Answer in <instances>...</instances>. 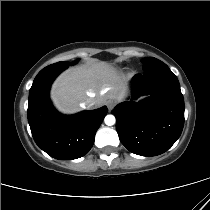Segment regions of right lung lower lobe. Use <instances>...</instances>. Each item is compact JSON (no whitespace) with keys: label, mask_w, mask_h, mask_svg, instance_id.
<instances>
[{"label":"right lung lower lobe","mask_w":210,"mask_h":210,"mask_svg":"<svg viewBox=\"0 0 210 210\" xmlns=\"http://www.w3.org/2000/svg\"><path fill=\"white\" fill-rule=\"evenodd\" d=\"M66 68L65 65H49L38 73L29 91L27 111L36 144L60 160H72L87 154L107 114L105 106L72 116L62 115L54 109L49 100L50 85Z\"/></svg>","instance_id":"obj_1"}]
</instances>
